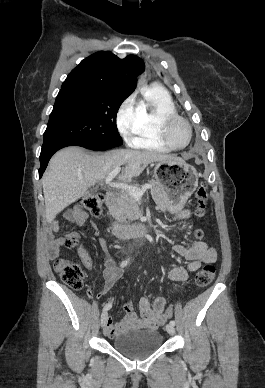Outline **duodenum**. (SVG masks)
I'll return each mask as SVG.
<instances>
[{
	"instance_id": "1",
	"label": "duodenum",
	"mask_w": 265,
	"mask_h": 388,
	"mask_svg": "<svg viewBox=\"0 0 265 388\" xmlns=\"http://www.w3.org/2000/svg\"><path fill=\"white\" fill-rule=\"evenodd\" d=\"M117 200L115 192H108L106 195V205L113 207ZM112 232L119 238L140 237L149 232V226L144 223L122 224L115 222L112 224Z\"/></svg>"
}]
</instances>
